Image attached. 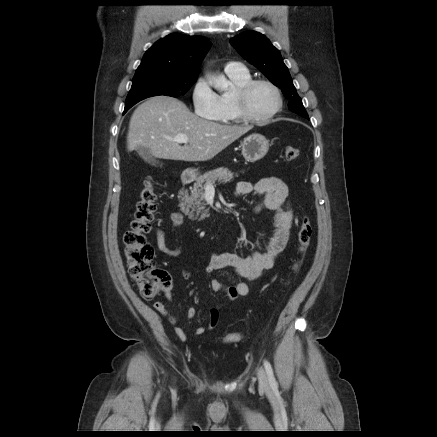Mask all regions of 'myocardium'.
<instances>
[{
	"label": "myocardium",
	"mask_w": 437,
	"mask_h": 437,
	"mask_svg": "<svg viewBox=\"0 0 437 437\" xmlns=\"http://www.w3.org/2000/svg\"><path fill=\"white\" fill-rule=\"evenodd\" d=\"M257 85H266L270 87L276 96V106L272 112L263 117L254 116L248 107V100L251 91ZM235 106L240 118L249 123H266L272 120L282 109L283 98L280 89L276 84L267 79H251L238 88L235 92Z\"/></svg>",
	"instance_id": "f54148a6"
}]
</instances>
